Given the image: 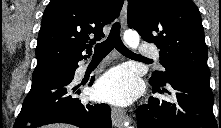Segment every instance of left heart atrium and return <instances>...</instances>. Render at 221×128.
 <instances>
[{
	"instance_id": "left-heart-atrium-1",
	"label": "left heart atrium",
	"mask_w": 221,
	"mask_h": 128,
	"mask_svg": "<svg viewBox=\"0 0 221 128\" xmlns=\"http://www.w3.org/2000/svg\"><path fill=\"white\" fill-rule=\"evenodd\" d=\"M139 79L130 70L117 67L106 73L96 84L94 95L101 101L126 106L136 98Z\"/></svg>"
}]
</instances>
